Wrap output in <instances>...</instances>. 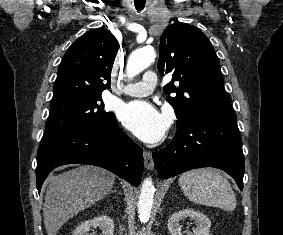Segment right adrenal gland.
I'll return each mask as SVG.
<instances>
[{
	"mask_svg": "<svg viewBox=\"0 0 283 235\" xmlns=\"http://www.w3.org/2000/svg\"><path fill=\"white\" fill-rule=\"evenodd\" d=\"M113 192H115V193H116V192H118V191H117V189H114V190H112V191H111V193H113Z\"/></svg>",
	"mask_w": 283,
	"mask_h": 235,
	"instance_id": "obj_1",
	"label": "right adrenal gland"
}]
</instances>
